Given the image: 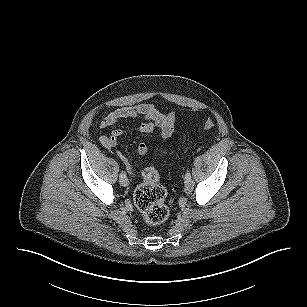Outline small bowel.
Instances as JSON below:
<instances>
[{"mask_svg":"<svg viewBox=\"0 0 307 307\" xmlns=\"http://www.w3.org/2000/svg\"><path fill=\"white\" fill-rule=\"evenodd\" d=\"M138 117L145 119V122H143L138 128L139 133L152 134L153 132L158 131L162 139L167 140L174 132L176 114L174 112L163 113L153 104H140L137 106L118 108L108 113L101 120L100 128L105 129L118 121ZM123 134L124 132L121 129H114L110 134L102 135L100 137V142L105 148L111 149L117 144ZM136 151L139 155H146L149 153V146L145 143H140L137 146ZM117 155L129 174L135 176L137 168L132 165L128 157L120 151L117 152Z\"/></svg>","mask_w":307,"mask_h":307,"instance_id":"c3829d8e","label":"small bowel"}]
</instances>
